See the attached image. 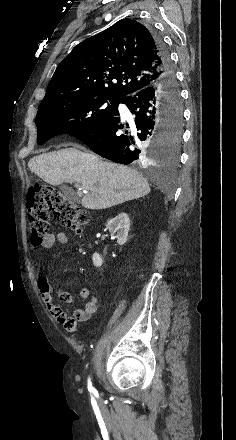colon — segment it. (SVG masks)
I'll return each instance as SVG.
<instances>
[{
  "label": "colon",
  "instance_id": "obj_1",
  "mask_svg": "<svg viewBox=\"0 0 236 440\" xmlns=\"http://www.w3.org/2000/svg\"><path fill=\"white\" fill-rule=\"evenodd\" d=\"M27 211L31 226V241L41 245L50 230V214L63 226L74 231L89 223L90 214L57 188L50 185H36L27 193ZM74 321L72 318L61 320Z\"/></svg>",
  "mask_w": 236,
  "mask_h": 440
}]
</instances>
